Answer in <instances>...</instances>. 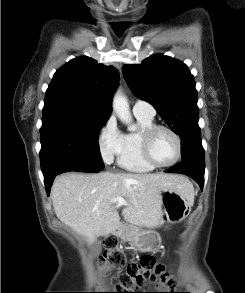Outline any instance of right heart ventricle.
<instances>
[{
	"mask_svg": "<svg viewBox=\"0 0 245 293\" xmlns=\"http://www.w3.org/2000/svg\"><path fill=\"white\" fill-rule=\"evenodd\" d=\"M135 117L138 122V129L123 134V146L117 156V164L121 169L128 172H151L155 167L147 163L142 155L140 135L143 130L155 125L154 116L135 115Z\"/></svg>",
	"mask_w": 245,
	"mask_h": 293,
	"instance_id": "e07e8e85",
	"label": "right heart ventricle"
}]
</instances>
